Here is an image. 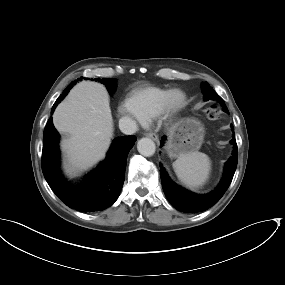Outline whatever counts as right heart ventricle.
Returning <instances> with one entry per match:
<instances>
[{
	"mask_svg": "<svg viewBox=\"0 0 285 285\" xmlns=\"http://www.w3.org/2000/svg\"><path fill=\"white\" fill-rule=\"evenodd\" d=\"M169 90L159 87H145L131 90L125 103L143 122L151 121L160 115Z\"/></svg>",
	"mask_w": 285,
	"mask_h": 285,
	"instance_id": "1",
	"label": "right heart ventricle"
}]
</instances>
